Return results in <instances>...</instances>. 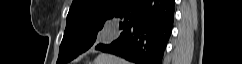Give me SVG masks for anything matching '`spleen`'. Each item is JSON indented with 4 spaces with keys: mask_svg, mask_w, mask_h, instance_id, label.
Returning <instances> with one entry per match:
<instances>
[{
    "mask_svg": "<svg viewBox=\"0 0 242 64\" xmlns=\"http://www.w3.org/2000/svg\"><path fill=\"white\" fill-rule=\"evenodd\" d=\"M94 64H130V63L114 55L100 54L94 60Z\"/></svg>",
    "mask_w": 242,
    "mask_h": 64,
    "instance_id": "obj_1",
    "label": "spleen"
}]
</instances>
